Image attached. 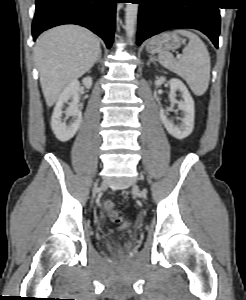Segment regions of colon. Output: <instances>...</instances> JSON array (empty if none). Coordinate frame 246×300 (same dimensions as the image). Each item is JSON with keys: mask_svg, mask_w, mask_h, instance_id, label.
Returning <instances> with one entry per match:
<instances>
[{"mask_svg": "<svg viewBox=\"0 0 246 300\" xmlns=\"http://www.w3.org/2000/svg\"><path fill=\"white\" fill-rule=\"evenodd\" d=\"M104 213L109 220L114 223H127L124 222L122 213L116 207V204L112 200H106L104 202Z\"/></svg>", "mask_w": 246, "mask_h": 300, "instance_id": "obj_1", "label": "colon"}]
</instances>
